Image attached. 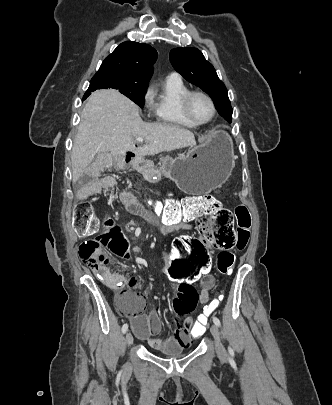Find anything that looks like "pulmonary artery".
Masks as SVG:
<instances>
[{"label":"pulmonary artery","instance_id":"pulmonary-artery-1","mask_svg":"<svg viewBox=\"0 0 332 405\" xmlns=\"http://www.w3.org/2000/svg\"><path fill=\"white\" fill-rule=\"evenodd\" d=\"M169 77H171V78H179L177 73H172Z\"/></svg>","mask_w":332,"mask_h":405}]
</instances>
